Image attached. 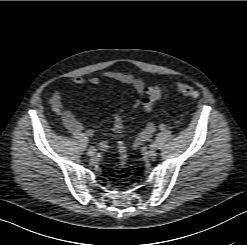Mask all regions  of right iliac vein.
<instances>
[{
    "label": "right iliac vein",
    "mask_w": 247,
    "mask_h": 245,
    "mask_svg": "<svg viewBox=\"0 0 247 245\" xmlns=\"http://www.w3.org/2000/svg\"><path fill=\"white\" fill-rule=\"evenodd\" d=\"M87 154H88V156L93 157V156H95V151L89 149L88 152H87Z\"/></svg>",
    "instance_id": "1"
}]
</instances>
